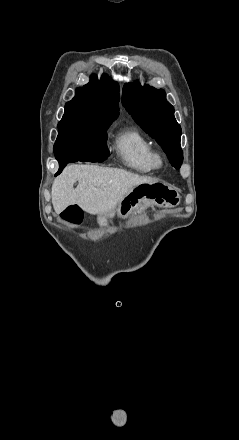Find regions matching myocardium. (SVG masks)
<instances>
[{"instance_id":"1","label":"myocardium","mask_w":239,"mask_h":440,"mask_svg":"<svg viewBox=\"0 0 239 440\" xmlns=\"http://www.w3.org/2000/svg\"><path fill=\"white\" fill-rule=\"evenodd\" d=\"M154 163L156 165V167H162L164 165V156L162 153L160 152H154Z\"/></svg>"}]
</instances>
